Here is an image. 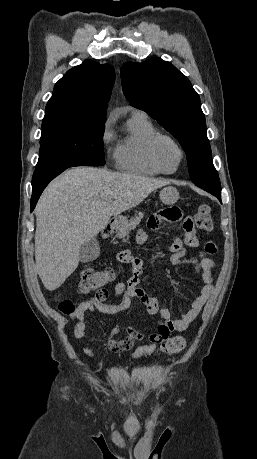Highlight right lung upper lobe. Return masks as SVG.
Instances as JSON below:
<instances>
[{
  "mask_svg": "<svg viewBox=\"0 0 257 459\" xmlns=\"http://www.w3.org/2000/svg\"><path fill=\"white\" fill-rule=\"evenodd\" d=\"M114 80L115 72L110 64L84 61L56 83L45 115L59 114L105 122L106 105Z\"/></svg>",
  "mask_w": 257,
  "mask_h": 459,
  "instance_id": "right-lung-upper-lobe-1",
  "label": "right lung upper lobe"
}]
</instances>
